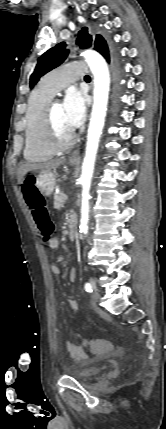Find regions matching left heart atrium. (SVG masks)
I'll use <instances>...</instances> for the list:
<instances>
[{
	"instance_id": "left-heart-atrium-1",
	"label": "left heart atrium",
	"mask_w": 166,
	"mask_h": 429,
	"mask_svg": "<svg viewBox=\"0 0 166 429\" xmlns=\"http://www.w3.org/2000/svg\"><path fill=\"white\" fill-rule=\"evenodd\" d=\"M62 107L67 125L72 130L79 127L84 121L86 113L84 95L77 90L68 91Z\"/></svg>"
}]
</instances>
